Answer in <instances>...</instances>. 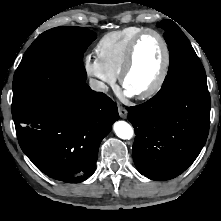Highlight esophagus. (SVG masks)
I'll return each instance as SVG.
<instances>
[{
  "label": "esophagus",
  "instance_id": "esophagus-1",
  "mask_svg": "<svg viewBox=\"0 0 221 221\" xmlns=\"http://www.w3.org/2000/svg\"><path fill=\"white\" fill-rule=\"evenodd\" d=\"M119 115L121 118H126L127 117V110L123 108L122 106L118 107Z\"/></svg>",
  "mask_w": 221,
  "mask_h": 221
}]
</instances>
